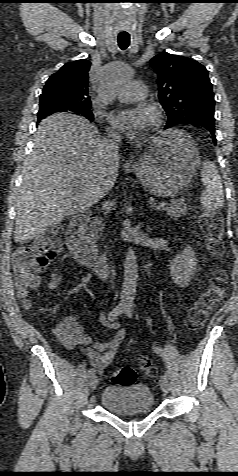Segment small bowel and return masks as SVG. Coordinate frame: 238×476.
Segmentation results:
<instances>
[{
	"instance_id": "obj_1",
	"label": "small bowel",
	"mask_w": 238,
	"mask_h": 476,
	"mask_svg": "<svg viewBox=\"0 0 238 476\" xmlns=\"http://www.w3.org/2000/svg\"><path fill=\"white\" fill-rule=\"evenodd\" d=\"M63 279L64 277L61 272L51 274L48 288H57L62 284ZM112 326L116 327L117 323L112 324ZM54 332L67 349H73L77 345L81 346L83 354L97 372H101L112 362L118 347L126 336L125 330L120 329L112 339L97 342L93 347H89L90 337L84 332L83 326L77 318L73 316H68L60 321L56 325Z\"/></svg>"
}]
</instances>
